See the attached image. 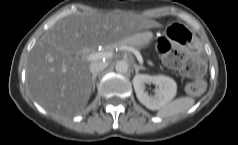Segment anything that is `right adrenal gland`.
I'll return each mask as SVG.
<instances>
[{
  "label": "right adrenal gland",
  "instance_id": "right-adrenal-gland-1",
  "mask_svg": "<svg viewBox=\"0 0 238 145\" xmlns=\"http://www.w3.org/2000/svg\"><path fill=\"white\" fill-rule=\"evenodd\" d=\"M96 78H97V74L92 75V85H93V91L95 90V83H96Z\"/></svg>",
  "mask_w": 238,
  "mask_h": 145
}]
</instances>
